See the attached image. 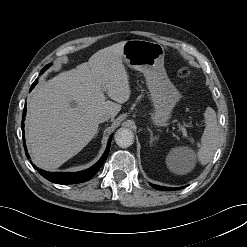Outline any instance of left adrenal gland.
<instances>
[{"label":"left adrenal gland","mask_w":247,"mask_h":247,"mask_svg":"<svg viewBox=\"0 0 247 247\" xmlns=\"http://www.w3.org/2000/svg\"><path fill=\"white\" fill-rule=\"evenodd\" d=\"M147 130H148L149 133H150V144H152L153 141H155V140L157 139V137H154V136H153V132H152V130H151L150 128H147Z\"/></svg>","instance_id":"a2214340"}]
</instances>
